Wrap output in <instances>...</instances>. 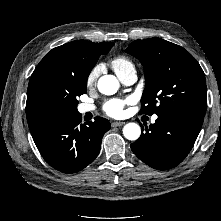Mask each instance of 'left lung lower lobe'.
I'll return each instance as SVG.
<instances>
[{"label": "left lung lower lobe", "mask_w": 221, "mask_h": 221, "mask_svg": "<svg viewBox=\"0 0 221 221\" xmlns=\"http://www.w3.org/2000/svg\"><path fill=\"white\" fill-rule=\"evenodd\" d=\"M204 115L174 110L161 115L133 144L134 154L150 167L166 170L180 164L192 149ZM144 130V127H143Z\"/></svg>", "instance_id": "left-lung-lower-lobe-1"}]
</instances>
